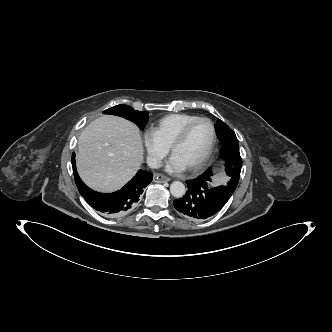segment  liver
Here are the masks:
<instances>
[{"instance_id": "1", "label": "liver", "mask_w": 332, "mask_h": 332, "mask_svg": "<svg viewBox=\"0 0 332 332\" xmlns=\"http://www.w3.org/2000/svg\"><path fill=\"white\" fill-rule=\"evenodd\" d=\"M143 144L138 128L130 121L104 115L80 134L76 164L83 182L100 192L120 189L139 169Z\"/></svg>"}]
</instances>
